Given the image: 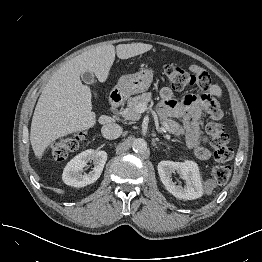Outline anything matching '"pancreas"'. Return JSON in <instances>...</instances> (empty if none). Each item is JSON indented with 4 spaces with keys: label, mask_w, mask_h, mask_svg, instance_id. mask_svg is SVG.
<instances>
[{
    "label": "pancreas",
    "mask_w": 262,
    "mask_h": 262,
    "mask_svg": "<svg viewBox=\"0 0 262 262\" xmlns=\"http://www.w3.org/2000/svg\"><path fill=\"white\" fill-rule=\"evenodd\" d=\"M152 100V94L150 92L143 93L141 95L135 96L128 100L127 103V109L126 113L124 114V117L129 120H138L140 118V113L137 112V105L140 103L148 104ZM161 121L163 123H166L171 130L172 133H175L176 135H180L184 133L183 128L180 126V124L170 118L166 114L160 116ZM194 153L196 154L200 148L195 146L194 147Z\"/></svg>",
    "instance_id": "pancreas-1"
}]
</instances>
